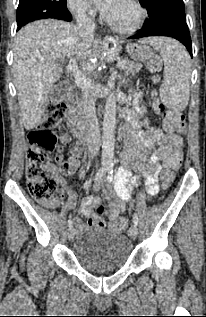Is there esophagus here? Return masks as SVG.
Segmentation results:
<instances>
[{
	"instance_id": "esophagus-1",
	"label": "esophagus",
	"mask_w": 206,
	"mask_h": 317,
	"mask_svg": "<svg viewBox=\"0 0 206 317\" xmlns=\"http://www.w3.org/2000/svg\"><path fill=\"white\" fill-rule=\"evenodd\" d=\"M105 41H118V39L115 36L107 35Z\"/></svg>"
}]
</instances>
